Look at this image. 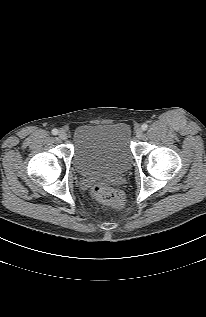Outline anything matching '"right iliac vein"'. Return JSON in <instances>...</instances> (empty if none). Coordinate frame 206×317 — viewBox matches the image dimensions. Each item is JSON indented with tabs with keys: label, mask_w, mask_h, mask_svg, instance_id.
Instances as JSON below:
<instances>
[{
	"label": "right iliac vein",
	"mask_w": 206,
	"mask_h": 317,
	"mask_svg": "<svg viewBox=\"0 0 206 317\" xmlns=\"http://www.w3.org/2000/svg\"><path fill=\"white\" fill-rule=\"evenodd\" d=\"M58 136H59V138L62 139V140H66V139H67V133H66L65 131H60V132L58 133Z\"/></svg>",
	"instance_id": "right-iliac-vein-1"
}]
</instances>
